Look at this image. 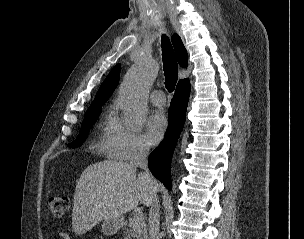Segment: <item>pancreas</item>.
<instances>
[{
	"instance_id": "pancreas-1",
	"label": "pancreas",
	"mask_w": 304,
	"mask_h": 239,
	"mask_svg": "<svg viewBox=\"0 0 304 239\" xmlns=\"http://www.w3.org/2000/svg\"><path fill=\"white\" fill-rule=\"evenodd\" d=\"M125 239H148L147 225L134 216L124 226Z\"/></svg>"
}]
</instances>
